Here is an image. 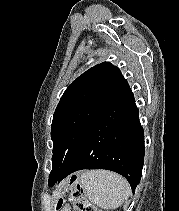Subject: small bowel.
<instances>
[{"label":"small bowel","instance_id":"small-bowel-1","mask_svg":"<svg viewBox=\"0 0 179 211\" xmlns=\"http://www.w3.org/2000/svg\"><path fill=\"white\" fill-rule=\"evenodd\" d=\"M64 211H71V208L67 207Z\"/></svg>","mask_w":179,"mask_h":211}]
</instances>
